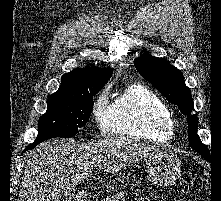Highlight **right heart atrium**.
Here are the masks:
<instances>
[{"instance_id": "obj_1", "label": "right heart atrium", "mask_w": 221, "mask_h": 201, "mask_svg": "<svg viewBox=\"0 0 221 201\" xmlns=\"http://www.w3.org/2000/svg\"><path fill=\"white\" fill-rule=\"evenodd\" d=\"M111 105L108 102L107 91L100 93L92 106L93 119L101 133H107L111 124Z\"/></svg>"}]
</instances>
